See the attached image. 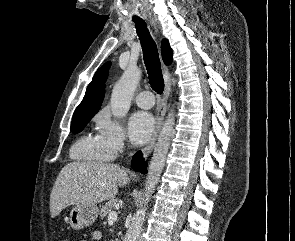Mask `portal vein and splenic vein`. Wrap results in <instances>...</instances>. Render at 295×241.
<instances>
[{
    "label": "portal vein and splenic vein",
    "mask_w": 295,
    "mask_h": 241,
    "mask_svg": "<svg viewBox=\"0 0 295 241\" xmlns=\"http://www.w3.org/2000/svg\"><path fill=\"white\" fill-rule=\"evenodd\" d=\"M117 216H118V214L116 211H111L108 215V220H116Z\"/></svg>",
    "instance_id": "1"
}]
</instances>
